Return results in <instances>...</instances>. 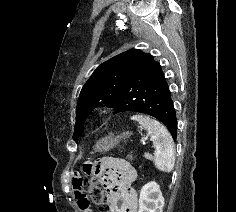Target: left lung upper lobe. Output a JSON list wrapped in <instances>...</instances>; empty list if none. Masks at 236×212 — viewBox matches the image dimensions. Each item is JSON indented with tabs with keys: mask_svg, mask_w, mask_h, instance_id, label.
<instances>
[{
	"mask_svg": "<svg viewBox=\"0 0 236 212\" xmlns=\"http://www.w3.org/2000/svg\"><path fill=\"white\" fill-rule=\"evenodd\" d=\"M145 53L139 49L123 52L96 68L83 86L76 108V124L73 139L84 130V121L95 107H111L124 87L131 81Z\"/></svg>",
	"mask_w": 236,
	"mask_h": 212,
	"instance_id": "1",
	"label": "left lung upper lobe"
}]
</instances>
